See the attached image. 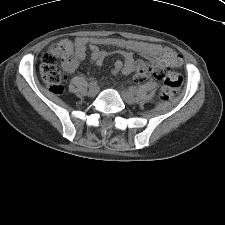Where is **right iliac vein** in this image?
Wrapping results in <instances>:
<instances>
[{"label":"right iliac vein","instance_id":"63e3f726","mask_svg":"<svg viewBox=\"0 0 225 225\" xmlns=\"http://www.w3.org/2000/svg\"><path fill=\"white\" fill-rule=\"evenodd\" d=\"M98 91H99V87L97 85L90 86L88 95L90 97H94L97 95Z\"/></svg>","mask_w":225,"mask_h":225}]
</instances>
